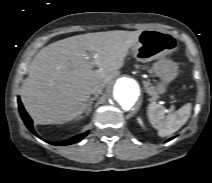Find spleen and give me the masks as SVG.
Returning a JSON list of instances; mask_svg holds the SVG:
<instances>
[{"mask_svg":"<svg viewBox=\"0 0 212 183\" xmlns=\"http://www.w3.org/2000/svg\"><path fill=\"white\" fill-rule=\"evenodd\" d=\"M192 106L185 104L179 110L165 116L163 106L152 102L148 105V119L152 126L158 131L160 137L169 136L178 131L189 119Z\"/></svg>","mask_w":212,"mask_h":183,"instance_id":"obj_1","label":"spleen"}]
</instances>
